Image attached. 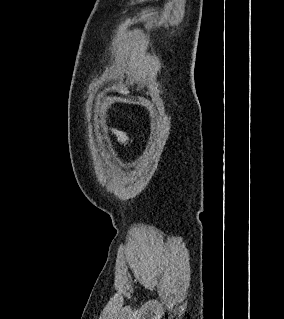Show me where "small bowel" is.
<instances>
[{
  "mask_svg": "<svg viewBox=\"0 0 284 319\" xmlns=\"http://www.w3.org/2000/svg\"><path fill=\"white\" fill-rule=\"evenodd\" d=\"M113 134L116 136V138L121 142V143H127L128 141V137L126 136V134H124L121 131L118 130H114Z\"/></svg>",
  "mask_w": 284,
  "mask_h": 319,
  "instance_id": "1",
  "label": "small bowel"
}]
</instances>
